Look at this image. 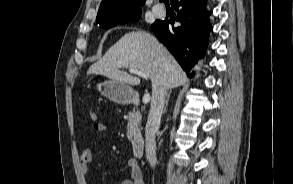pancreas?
I'll return each mask as SVG.
<instances>
[{
    "mask_svg": "<svg viewBox=\"0 0 293 184\" xmlns=\"http://www.w3.org/2000/svg\"><path fill=\"white\" fill-rule=\"evenodd\" d=\"M127 137L132 140L133 137L140 134L141 113L140 111H131L128 113Z\"/></svg>",
    "mask_w": 293,
    "mask_h": 184,
    "instance_id": "pancreas-1",
    "label": "pancreas"
}]
</instances>
